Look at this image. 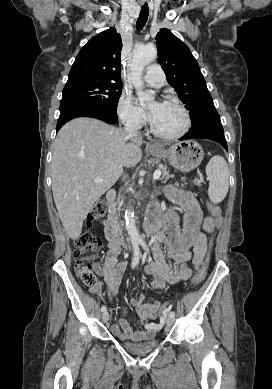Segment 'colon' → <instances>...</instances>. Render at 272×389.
Here are the masks:
<instances>
[{
  "mask_svg": "<svg viewBox=\"0 0 272 389\" xmlns=\"http://www.w3.org/2000/svg\"><path fill=\"white\" fill-rule=\"evenodd\" d=\"M106 202L98 200L87 216V227H91L92 222L102 218L106 213ZM211 215L218 224L221 219V210L214 204L209 205ZM102 251L101 239L89 231L82 233L75 241L74 257L76 259V273L82 282L88 286H93L97 282L95 266L99 265ZM208 262L205 261L198 273L192 280V285H199L206 277ZM171 308L169 302H165L160 307V314L165 315Z\"/></svg>",
  "mask_w": 272,
  "mask_h": 389,
  "instance_id": "colon-1",
  "label": "colon"
}]
</instances>
